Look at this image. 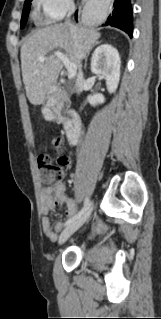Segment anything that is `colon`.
Listing matches in <instances>:
<instances>
[{
    "mask_svg": "<svg viewBox=\"0 0 161 319\" xmlns=\"http://www.w3.org/2000/svg\"><path fill=\"white\" fill-rule=\"evenodd\" d=\"M54 154H41L38 159L41 171V184L50 187L60 182L70 164V158L60 137H53Z\"/></svg>",
    "mask_w": 161,
    "mask_h": 319,
    "instance_id": "5ec220e1",
    "label": "colon"
}]
</instances>
